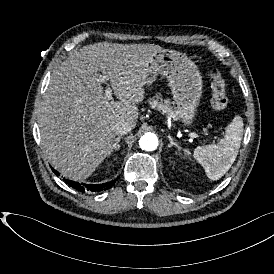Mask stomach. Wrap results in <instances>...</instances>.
Here are the masks:
<instances>
[{
  "instance_id": "0dacf381",
  "label": "stomach",
  "mask_w": 274,
  "mask_h": 274,
  "mask_svg": "<svg viewBox=\"0 0 274 274\" xmlns=\"http://www.w3.org/2000/svg\"><path fill=\"white\" fill-rule=\"evenodd\" d=\"M147 83L162 75L171 90L176 117L185 126H193L203 94V77L198 66L181 52L162 50L150 61Z\"/></svg>"
}]
</instances>
